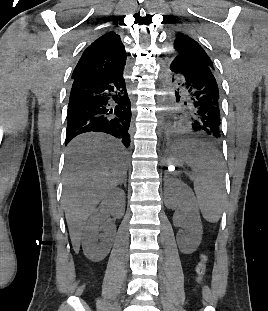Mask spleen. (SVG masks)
Segmentation results:
<instances>
[{"instance_id": "obj_1", "label": "spleen", "mask_w": 268, "mask_h": 311, "mask_svg": "<svg viewBox=\"0 0 268 311\" xmlns=\"http://www.w3.org/2000/svg\"><path fill=\"white\" fill-rule=\"evenodd\" d=\"M186 163L194 173V190L203 217L211 223L218 222L224 202L223 162L214 144L207 140H188Z\"/></svg>"}]
</instances>
